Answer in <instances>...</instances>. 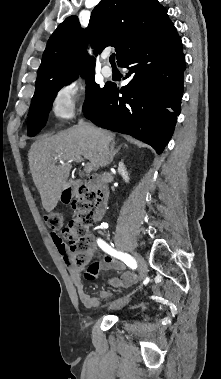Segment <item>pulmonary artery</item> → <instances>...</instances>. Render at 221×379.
Instances as JSON below:
<instances>
[{
    "label": "pulmonary artery",
    "instance_id": "e3ab8cb5",
    "mask_svg": "<svg viewBox=\"0 0 221 379\" xmlns=\"http://www.w3.org/2000/svg\"><path fill=\"white\" fill-rule=\"evenodd\" d=\"M103 59L106 60L107 59V55H104ZM101 72H102V74L105 77H110V76H112V73H113L111 67H109V66L102 67Z\"/></svg>",
    "mask_w": 221,
    "mask_h": 379
}]
</instances>
